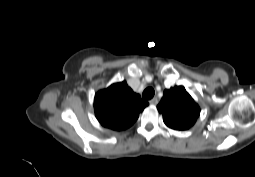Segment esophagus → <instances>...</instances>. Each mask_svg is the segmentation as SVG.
<instances>
[{
	"mask_svg": "<svg viewBox=\"0 0 255 177\" xmlns=\"http://www.w3.org/2000/svg\"><path fill=\"white\" fill-rule=\"evenodd\" d=\"M149 103H150L151 105H156V104L158 103V99H157V98H153V99H151V100L149 101Z\"/></svg>",
	"mask_w": 255,
	"mask_h": 177,
	"instance_id": "1",
	"label": "esophagus"
}]
</instances>
